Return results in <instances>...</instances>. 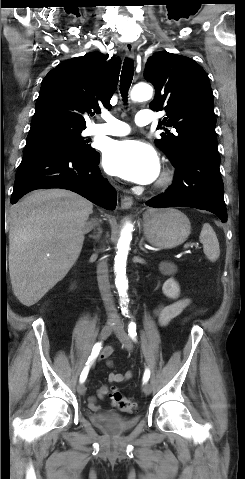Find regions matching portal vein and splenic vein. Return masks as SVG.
<instances>
[{"mask_svg": "<svg viewBox=\"0 0 245 479\" xmlns=\"http://www.w3.org/2000/svg\"><path fill=\"white\" fill-rule=\"evenodd\" d=\"M184 248L186 249V252H188L191 248H193V245L185 244ZM155 251H159V250H155Z\"/></svg>", "mask_w": 245, "mask_h": 479, "instance_id": "obj_1", "label": "portal vein and splenic vein"}]
</instances>
